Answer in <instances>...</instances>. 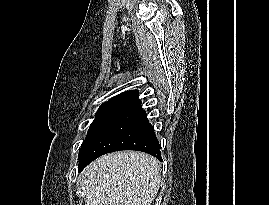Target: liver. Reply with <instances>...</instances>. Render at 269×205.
<instances>
[{
    "label": "liver",
    "mask_w": 269,
    "mask_h": 205,
    "mask_svg": "<svg viewBox=\"0 0 269 205\" xmlns=\"http://www.w3.org/2000/svg\"><path fill=\"white\" fill-rule=\"evenodd\" d=\"M159 162L137 151L101 156L81 174L85 205H151L160 187Z\"/></svg>",
    "instance_id": "1"
}]
</instances>
